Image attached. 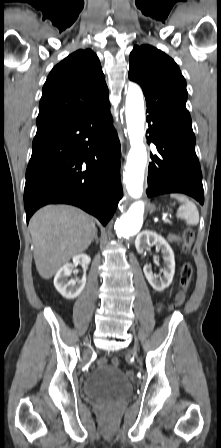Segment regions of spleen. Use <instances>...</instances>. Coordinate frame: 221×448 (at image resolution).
Segmentation results:
<instances>
[{"instance_id":"obj_1","label":"spleen","mask_w":221,"mask_h":448,"mask_svg":"<svg viewBox=\"0 0 221 448\" xmlns=\"http://www.w3.org/2000/svg\"><path fill=\"white\" fill-rule=\"evenodd\" d=\"M171 197L181 203L177 211V217L185 220L188 225H197L199 222V212L195 203L190 201L185 195L171 194Z\"/></svg>"}]
</instances>
